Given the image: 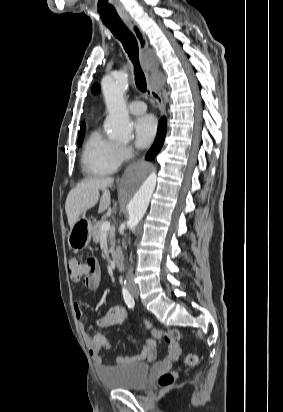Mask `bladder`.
Segmentation results:
<instances>
[{"mask_svg": "<svg viewBox=\"0 0 283 412\" xmlns=\"http://www.w3.org/2000/svg\"><path fill=\"white\" fill-rule=\"evenodd\" d=\"M150 373L145 363L109 367L100 374L103 385L110 389L138 390L146 386Z\"/></svg>", "mask_w": 283, "mask_h": 412, "instance_id": "31cf9c89", "label": "bladder"}]
</instances>
